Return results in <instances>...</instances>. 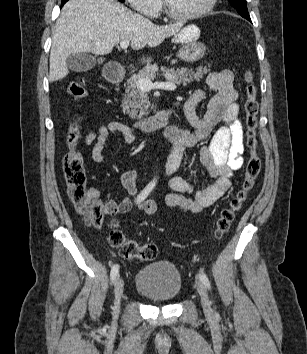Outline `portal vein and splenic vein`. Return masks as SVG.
<instances>
[{
    "label": "portal vein and splenic vein",
    "mask_w": 307,
    "mask_h": 354,
    "mask_svg": "<svg viewBox=\"0 0 307 354\" xmlns=\"http://www.w3.org/2000/svg\"><path fill=\"white\" fill-rule=\"evenodd\" d=\"M129 45V40H124L120 42V47L122 49H127ZM138 87L143 91H150L151 89H166V90H175L177 86L175 83L168 81V82H155L153 83L148 78H139L137 81Z\"/></svg>",
    "instance_id": "1"
}]
</instances>
